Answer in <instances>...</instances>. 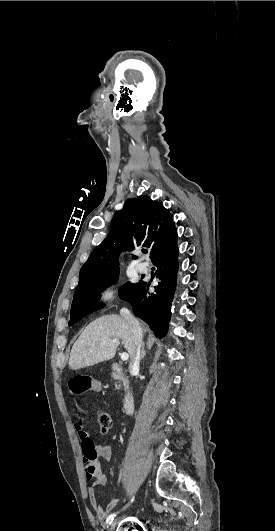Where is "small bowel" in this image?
Returning <instances> with one entry per match:
<instances>
[{
  "mask_svg": "<svg viewBox=\"0 0 275 531\" xmlns=\"http://www.w3.org/2000/svg\"><path fill=\"white\" fill-rule=\"evenodd\" d=\"M97 381V376L95 374L90 375H71L69 377L70 394L74 396L75 399H82L83 392H92L97 391L100 388ZM81 404L80 402L78 403ZM76 413L80 416H85L87 414V409L85 407H80L76 410ZM86 419L82 418L75 422V429L78 433L79 440L81 442L82 448L87 445L94 444L92 438L85 429ZM99 458L109 461L112 457V448L110 446H103L98 449ZM99 461H95L94 465H98ZM93 476V483L88 490V497L91 507L96 513V516L99 520H104L108 514L114 510L118 503V499L111 500L107 503L106 506H102L99 502L97 489L99 487L105 486L107 483V477L102 472H96Z\"/></svg>",
  "mask_w": 275,
  "mask_h": 531,
  "instance_id": "small-bowel-1",
  "label": "small bowel"
}]
</instances>
